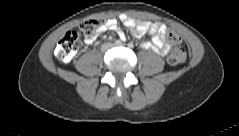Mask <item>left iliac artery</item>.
<instances>
[{
  "instance_id": "1",
  "label": "left iliac artery",
  "mask_w": 239,
  "mask_h": 136,
  "mask_svg": "<svg viewBox=\"0 0 239 136\" xmlns=\"http://www.w3.org/2000/svg\"><path fill=\"white\" fill-rule=\"evenodd\" d=\"M128 47L133 48L134 47L133 43L132 42L128 43Z\"/></svg>"
}]
</instances>
